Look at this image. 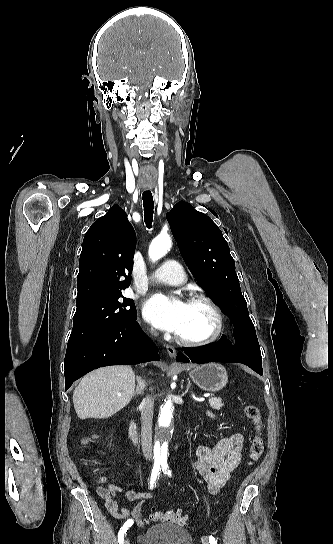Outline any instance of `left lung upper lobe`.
<instances>
[{
	"mask_svg": "<svg viewBox=\"0 0 333 544\" xmlns=\"http://www.w3.org/2000/svg\"><path fill=\"white\" fill-rule=\"evenodd\" d=\"M179 250L197 283L230 319H250L235 272V261L221 230L207 215L180 201L167 214Z\"/></svg>",
	"mask_w": 333,
	"mask_h": 544,
	"instance_id": "obj_1",
	"label": "left lung upper lobe"
}]
</instances>
